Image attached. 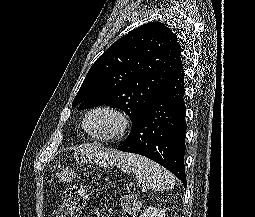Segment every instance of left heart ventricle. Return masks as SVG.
Wrapping results in <instances>:
<instances>
[{
	"label": "left heart ventricle",
	"mask_w": 255,
	"mask_h": 217,
	"mask_svg": "<svg viewBox=\"0 0 255 217\" xmlns=\"http://www.w3.org/2000/svg\"><path fill=\"white\" fill-rule=\"evenodd\" d=\"M116 119L105 112H97L89 116L86 121V128L92 134H106L116 127Z\"/></svg>",
	"instance_id": "left-heart-ventricle-1"
}]
</instances>
